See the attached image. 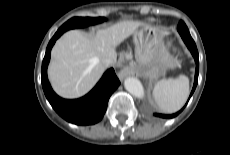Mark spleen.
I'll list each match as a JSON object with an SVG mask.
<instances>
[{"label":"spleen","mask_w":230,"mask_h":155,"mask_svg":"<svg viewBox=\"0 0 230 155\" xmlns=\"http://www.w3.org/2000/svg\"><path fill=\"white\" fill-rule=\"evenodd\" d=\"M188 95L189 79L184 75L162 79L153 90L154 100L164 113L178 111L186 102Z\"/></svg>","instance_id":"obj_1"}]
</instances>
